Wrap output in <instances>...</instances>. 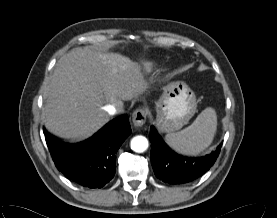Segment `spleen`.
<instances>
[{"label": "spleen", "instance_id": "1", "mask_svg": "<svg viewBox=\"0 0 277 218\" xmlns=\"http://www.w3.org/2000/svg\"><path fill=\"white\" fill-rule=\"evenodd\" d=\"M217 129V115L213 108L204 109L187 128L169 133L165 140L177 152L198 154L209 147Z\"/></svg>", "mask_w": 277, "mask_h": 218}]
</instances>
